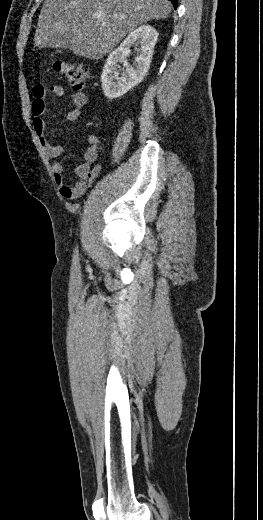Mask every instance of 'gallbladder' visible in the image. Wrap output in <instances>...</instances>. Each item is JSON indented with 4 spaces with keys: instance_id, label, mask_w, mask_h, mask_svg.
I'll return each mask as SVG.
<instances>
[{
    "instance_id": "bac80fb5",
    "label": "gallbladder",
    "mask_w": 263,
    "mask_h": 520,
    "mask_svg": "<svg viewBox=\"0 0 263 520\" xmlns=\"http://www.w3.org/2000/svg\"><path fill=\"white\" fill-rule=\"evenodd\" d=\"M69 37L66 34H55L51 40H53L52 46L54 48H67Z\"/></svg>"
}]
</instances>
